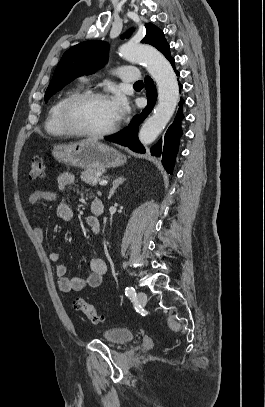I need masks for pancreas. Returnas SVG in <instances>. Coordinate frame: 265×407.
<instances>
[{
  "label": "pancreas",
  "mask_w": 265,
  "mask_h": 407,
  "mask_svg": "<svg viewBox=\"0 0 265 407\" xmlns=\"http://www.w3.org/2000/svg\"><path fill=\"white\" fill-rule=\"evenodd\" d=\"M101 170L99 169H87L81 173V180L90 185H96L100 180Z\"/></svg>",
  "instance_id": "1"
}]
</instances>
